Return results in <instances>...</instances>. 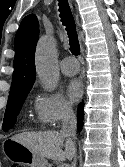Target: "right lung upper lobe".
I'll list each match as a JSON object with an SVG mask.
<instances>
[{"label": "right lung upper lobe", "mask_w": 125, "mask_h": 167, "mask_svg": "<svg viewBox=\"0 0 125 167\" xmlns=\"http://www.w3.org/2000/svg\"><path fill=\"white\" fill-rule=\"evenodd\" d=\"M39 36V23L36 15L26 16L16 33L14 40V72L10 95L31 90L36 76L34 52Z\"/></svg>", "instance_id": "1"}]
</instances>
